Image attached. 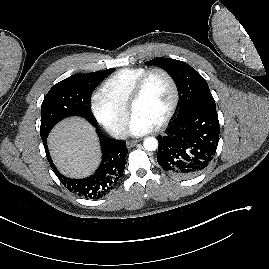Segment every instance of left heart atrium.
Returning <instances> with one entry per match:
<instances>
[{
  "label": "left heart atrium",
  "instance_id": "39dd6f15",
  "mask_svg": "<svg viewBox=\"0 0 269 269\" xmlns=\"http://www.w3.org/2000/svg\"><path fill=\"white\" fill-rule=\"evenodd\" d=\"M153 128V124L133 114L128 125V132L132 135L139 136L150 132Z\"/></svg>",
  "mask_w": 269,
  "mask_h": 269
}]
</instances>
